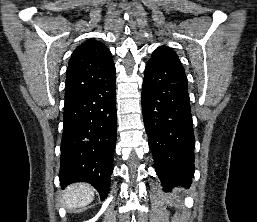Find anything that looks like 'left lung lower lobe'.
Returning a JSON list of instances; mask_svg holds the SVG:
<instances>
[{
    "mask_svg": "<svg viewBox=\"0 0 257 222\" xmlns=\"http://www.w3.org/2000/svg\"><path fill=\"white\" fill-rule=\"evenodd\" d=\"M142 113L164 190L189 186L195 170V138L185 73L150 59L143 81Z\"/></svg>",
    "mask_w": 257,
    "mask_h": 222,
    "instance_id": "0a47b994",
    "label": "left lung lower lobe"
}]
</instances>
